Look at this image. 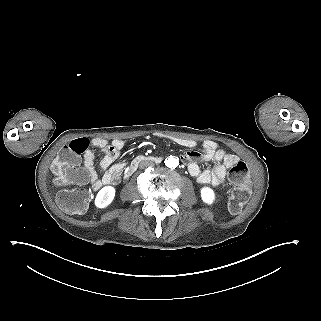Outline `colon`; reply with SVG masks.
<instances>
[{"instance_id": "1", "label": "colon", "mask_w": 321, "mask_h": 321, "mask_svg": "<svg viewBox=\"0 0 321 321\" xmlns=\"http://www.w3.org/2000/svg\"><path fill=\"white\" fill-rule=\"evenodd\" d=\"M90 148V141L86 138L73 140L61 149L52 164V171L56 182L67 188L58 194V203L67 213L80 215L86 211L88 192L81 187L87 179L86 172L80 166V159ZM228 178L232 183L228 199V208L232 214H238L247 203L251 194V177L247 165L237 161L228 171Z\"/></svg>"}]
</instances>
